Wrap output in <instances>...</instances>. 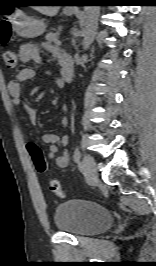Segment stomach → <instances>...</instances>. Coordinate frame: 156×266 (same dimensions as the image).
<instances>
[{"mask_svg":"<svg viewBox=\"0 0 156 266\" xmlns=\"http://www.w3.org/2000/svg\"><path fill=\"white\" fill-rule=\"evenodd\" d=\"M67 14L71 15L72 11H68ZM13 28L19 35L26 38L37 37L46 31V25L43 21L33 20L22 14L13 18Z\"/></svg>","mask_w":156,"mask_h":266,"instance_id":"stomach-1","label":"stomach"}]
</instances>
